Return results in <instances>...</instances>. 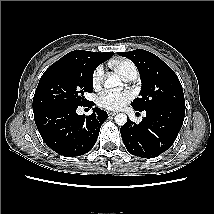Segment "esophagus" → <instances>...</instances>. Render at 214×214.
Listing matches in <instances>:
<instances>
[{
    "label": "esophagus",
    "mask_w": 214,
    "mask_h": 214,
    "mask_svg": "<svg viewBox=\"0 0 214 214\" xmlns=\"http://www.w3.org/2000/svg\"><path fill=\"white\" fill-rule=\"evenodd\" d=\"M108 115L109 116H114V115H116V112H108Z\"/></svg>",
    "instance_id": "esophagus-1"
}]
</instances>
